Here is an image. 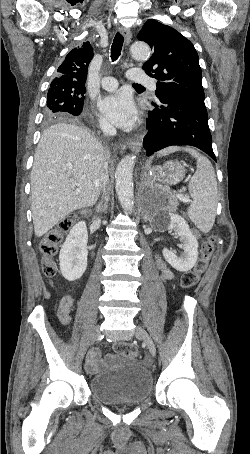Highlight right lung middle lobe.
I'll return each instance as SVG.
<instances>
[{"instance_id":"obj_1","label":"right lung middle lobe","mask_w":250,"mask_h":454,"mask_svg":"<svg viewBox=\"0 0 250 454\" xmlns=\"http://www.w3.org/2000/svg\"><path fill=\"white\" fill-rule=\"evenodd\" d=\"M85 88L74 91H64L58 88H49L45 120L51 121L65 116H78L81 114L84 103Z\"/></svg>"}]
</instances>
